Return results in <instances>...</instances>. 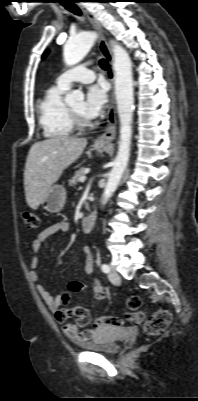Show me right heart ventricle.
<instances>
[{"label": "right heart ventricle", "mask_w": 198, "mask_h": 401, "mask_svg": "<svg viewBox=\"0 0 198 401\" xmlns=\"http://www.w3.org/2000/svg\"><path fill=\"white\" fill-rule=\"evenodd\" d=\"M66 90L58 84L52 85L38 102L39 124L47 138H64L74 130L68 106L63 101Z\"/></svg>", "instance_id": "1"}]
</instances>
